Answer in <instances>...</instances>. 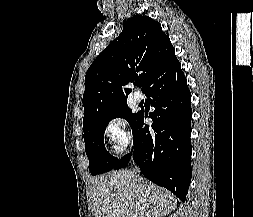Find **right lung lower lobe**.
Segmentation results:
<instances>
[{
  "label": "right lung lower lobe",
  "mask_w": 253,
  "mask_h": 217,
  "mask_svg": "<svg viewBox=\"0 0 253 217\" xmlns=\"http://www.w3.org/2000/svg\"><path fill=\"white\" fill-rule=\"evenodd\" d=\"M151 98L153 124L144 125L148 113L140 111L133 122L134 151L118 160L113 169L126 166L133 155L142 174L181 200L191 182V93L177 61L152 80L145 90Z\"/></svg>",
  "instance_id": "right-lung-lower-lobe-1"
}]
</instances>
